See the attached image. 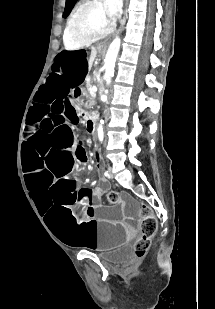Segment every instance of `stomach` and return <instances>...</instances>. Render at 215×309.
Returning <instances> with one entry per match:
<instances>
[{"mask_svg":"<svg viewBox=\"0 0 215 309\" xmlns=\"http://www.w3.org/2000/svg\"><path fill=\"white\" fill-rule=\"evenodd\" d=\"M98 51H99V52H102V48H101V47H98Z\"/></svg>","mask_w":215,"mask_h":309,"instance_id":"stomach-1","label":"stomach"}]
</instances>
